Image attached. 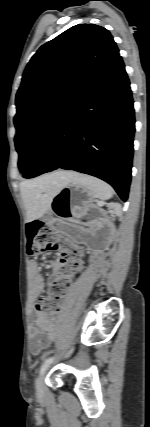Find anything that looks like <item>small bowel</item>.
I'll list each match as a JSON object with an SVG mask.
<instances>
[{
    "label": "small bowel",
    "instance_id": "obj_1",
    "mask_svg": "<svg viewBox=\"0 0 150 427\" xmlns=\"http://www.w3.org/2000/svg\"><path fill=\"white\" fill-rule=\"evenodd\" d=\"M60 263L56 261L50 262V267L53 269H58ZM30 268L33 278V283L36 291L42 292L45 287L44 278L40 273L39 266L36 261L30 262ZM57 276V273L52 275V280H54ZM30 351L32 354L37 355L42 350L49 347V345L56 339L57 337V328L52 325L46 314L37 311L35 316V325L30 329Z\"/></svg>",
    "mask_w": 150,
    "mask_h": 427
}]
</instances>
